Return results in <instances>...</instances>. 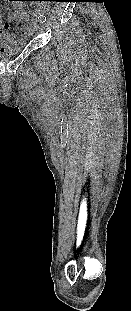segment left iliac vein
I'll use <instances>...</instances> for the list:
<instances>
[{"instance_id":"1","label":"left iliac vein","mask_w":131,"mask_h":311,"mask_svg":"<svg viewBox=\"0 0 131 311\" xmlns=\"http://www.w3.org/2000/svg\"><path fill=\"white\" fill-rule=\"evenodd\" d=\"M43 28V24H40L39 29L41 30Z\"/></svg>"}]
</instances>
